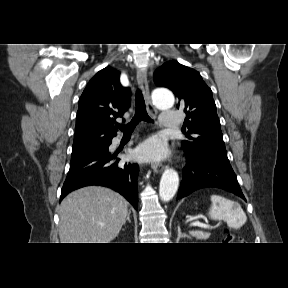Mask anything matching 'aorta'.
<instances>
[{
    "instance_id": "1",
    "label": "aorta",
    "mask_w": 288,
    "mask_h": 288,
    "mask_svg": "<svg viewBox=\"0 0 288 288\" xmlns=\"http://www.w3.org/2000/svg\"><path fill=\"white\" fill-rule=\"evenodd\" d=\"M152 99L155 106L159 109H168L174 105V96L170 91L155 90L152 93ZM179 185V176L174 169H167L163 173L160 185L159 196L162 201H170L177 192Z\"/></svg>"
}]
</instances>
